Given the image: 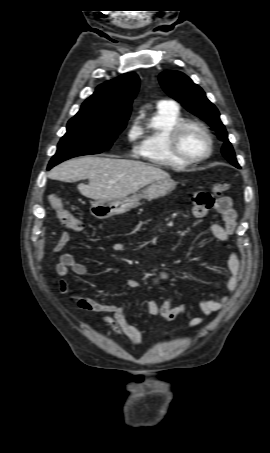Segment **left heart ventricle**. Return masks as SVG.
I'll return each instance as SVG.
<instances>
[{
  "mask_svg": "<svg viewBox=\"0 0 270 453\" xmlns=\"http://www.w3.org/2000/svg\"><path fill=\"white\" fill-rule=\"evenodd\" d=\"M207 139L205 135L195 127L187 128L181 135L180 148L190 157H199L207 151Z\"/></svg>",
  "mask_w": 270,
  "mask_h": 453,
  "instance_id": "left-heart-ventricle-1",
  "label": "left heart ventricle"
}]
</instances>
